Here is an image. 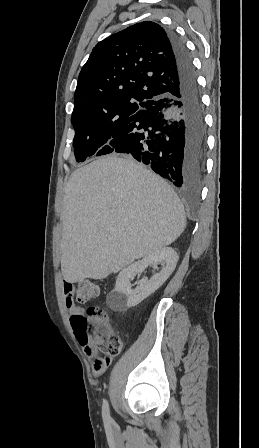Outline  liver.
<instances>
[{
  "label": "liver",
  "instance_id": "obj_1",
  "mask_svg": "<svg viewBox=\"0 0 259 448\" xmlns=\"http://www.w3.org/2000/svg\"><path fill=\"white\" fill-rule=\"evenodd\" d=\"M61 220V272L69 284L117 274L172 244L186 226L184 206L167 182L118 154L71 174Z\"/></svg>",
  "mask_w": 259,
  "mask_h": 448
}]
</instances>
